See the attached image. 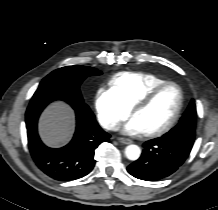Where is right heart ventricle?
Masks as SVG:
<instances>
[{"mask_svg": "<svg viewBox=\"0 0 218 210\" xmlns=\"http://www.w3.org/2000/svg\"><path fill=\"white\" fill-rule=\"evenodd\" d=\"M157 75L142 72H124L114 76L110 81V89L128 107L132 108L150 89L164 82Z\"/></svg>", "mask_w": 218, "mask_h": 210, "instance_id": "obj_1", "label": "right heart ventricle"}]
</instances>
